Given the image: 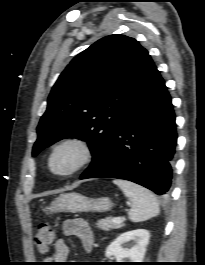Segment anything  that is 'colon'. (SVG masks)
<instances>
[{
	"instance_id": "5ec220e1",
	"label": "colon",
	"mask_w": 205,
	"mask_h": 265,
	"mask_svg": "<svg viewBox=\"0 0 205 265\" xmlns=\"http://www.w3.org/2000/svg\"><path fill=\"white\" fill-rule=\"evenodd\" d=\"M34 240L39 252L43 254L49 252L55 244V234L53 229L47 224L41 225Z\"/></svg>"
}]
</instances>
